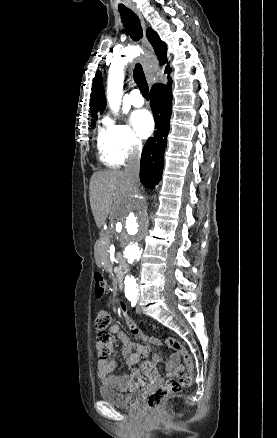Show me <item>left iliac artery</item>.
I'll return each mask as SVG.
<instances>
[{"label":"left iliac artery","instance_id":"1","mask_svg":"<svg viewBox=\"0 0 277 438\" xmlns=\"http://www.w3.org/2000/svg\"><path fill=\"white\" fill-rule=\"evenodd\" d=\"M128 299L131 301L132 307H135L136 303H137V296L136 295H131V296L128 297Z\"/></svg>","mask_w":277,"mask_h":438}]
</instances>
